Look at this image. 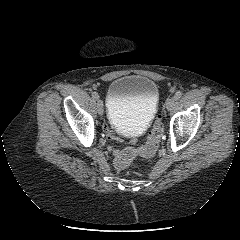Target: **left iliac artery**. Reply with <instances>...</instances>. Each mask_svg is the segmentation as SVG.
<instances>
[{
    "label": "left iliac artery",
    "instance_id": "obj_1",
    "mask_svg": "<svg viewBox=\"0 0 240 240\" xmlns=\"http://www.w3.org/2000/svg\"><path fill=\"white\" fill-rule=\"evenodd\" d=\"M182 96V93L180 91L176 92L175 95H174V99L175 100H179Z\"/></svg>",
    "mask_w": 240,
    "mask_h": 240
}]
</instances>
